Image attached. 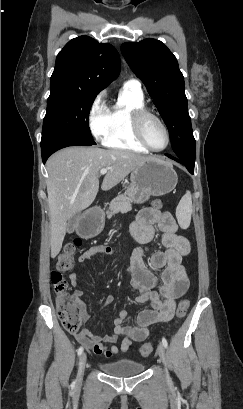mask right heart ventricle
<instances>
[{"label":"right heart ventricle","mask_w":243,"mask_h":409,"mask_svg":"<svg viewBox=\"0 0 243 409\" xmlns=\"http://www.w3.org/2000/svg\"><path fill=\"white\" fill-rule=\"evenodd\" d=\"M144 107V95L142 92L123 87L118 101L109 109L111 128L104 139V144L109 148L149 153V150L136 138L131 122L133 112Z\"/></svg>","instance_id":"e07e8e85"}]
</instances>
